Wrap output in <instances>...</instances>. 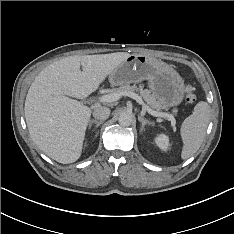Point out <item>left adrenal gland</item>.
<instances>
[{"mask_svg": "<svg viewBox=\"0 0 234 234\" xmlns=\"http://www.w3.org/2000/svg\"><path fill=\"white\" fill-rule=\"evenodd\" d=\"M138 120L142 123V126H141V131L144 129V127H145V125H153L154 123L153 122H151V121H149V120H147V119H145L144 117H141V116H139L138 117Z\"/></svg>", "mask_w": 234, "mask_h": 234, "instance_id": "1", "label": "left adrenal gland"}]
</instances>
